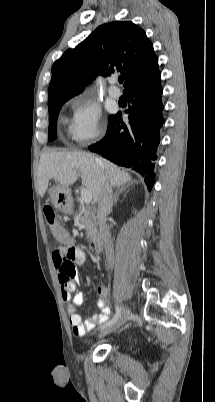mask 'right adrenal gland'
<instances>
[{
    "instance_id": "1",
    "label": "right adrenal gland",
    "mask_w": 215,
    "mask_h": 402,
    "mask_svg": "<svg viewBox=\"0 0 215 402\" xmlns=\"http://www.w3.org/2000/svg\"><path fill=\"white\" fill-rule=\"evenodd\" d=\"M132 184H133V182H131V183L125 185V186H121L120 188H118V189L116 190V193H115V195H114V201H113V204H114V205L117 204L119 194H121L123 191H125V190H126L130 185H132Z\"/></svg>"
}]
</instances>
